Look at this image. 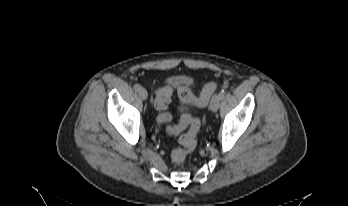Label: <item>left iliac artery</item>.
<instances>
[{
  "mask_svg": "<svg viewBox=\"0 0 348 206\" xmlns=\"http://www.w3.org/2000/svg\"><path fill=\"white\" fill-rule=\"evenodd\" d=\"M225 94H226L225 89H224V88H223V89H221V91H220V93H219V97H220V99H223V98H224V96H225Z\"/></svg>",
  "mask_w": 348,
  "mask_h": 206,
  "instance_id": "obj_1",
  "label": "left iliac artery"
}]
</instances>
